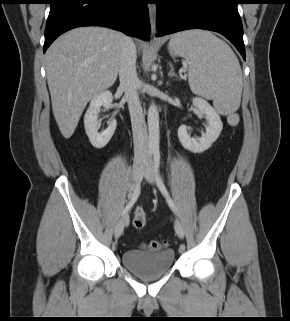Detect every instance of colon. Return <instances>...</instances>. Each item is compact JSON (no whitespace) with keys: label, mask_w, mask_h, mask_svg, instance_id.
<instances>
[{"label":"colon","mask_w":290,"mask_h":321,"mask_svg":"<svg viewBox=\"0 0 290 321\" xmlns=\"http://www.w3.org/2000/svg\"><path fill=\"white\" fill-rule=\"evenodd\" d=\"M146 224V213L143 209L137 208L132 217V225L135 229L141 230ZM165 245L164 242L151 241L148 244L149 249L157 251L160 250Z\"/></svg>","instance_id":"1"}]
</instances>
